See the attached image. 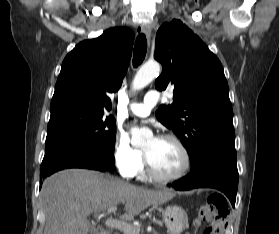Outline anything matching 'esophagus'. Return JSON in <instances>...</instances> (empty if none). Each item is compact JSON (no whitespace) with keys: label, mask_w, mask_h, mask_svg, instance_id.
<instances>
[{"label":"esophagus","mask_w":279,"mask_h":234,"mask_svg":"<svg viewBox=\"0 0 279 234\" xmlns=\"http://www.w3.org/2000/svg\"><path fill=\"white\" fill-rule=\"evenodd\" d=\"M141 32H143L150 43V38H151V26L149 24L146 25H141L140 26Z\"/></svg>","instance_id":"esophagus-1"}]
</instances>
